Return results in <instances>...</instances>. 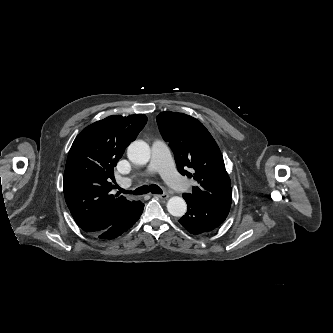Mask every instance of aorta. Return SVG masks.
I'll return each instance as SVG.
<instances>
[{
  "mask_svg": "<svg viewBox=\"0 0 333 333\" xmlns=\"http://www.w3.org/2000/svg\"><path fill=\"white\" fill-rule=\"evenodd\" d=\"M150 147L141 140L132 142L127 149V156L130 161L138 165L147 164L150 160ZM168 212L176 217L183 216L187 211V205L183 198L174 196L167 202Z\"/></svg>",
  "mask_w": 333,
  "mask_h": 333,
  "instance_id": "obj_1",
  "label": "aorta"
}]
</instances>
